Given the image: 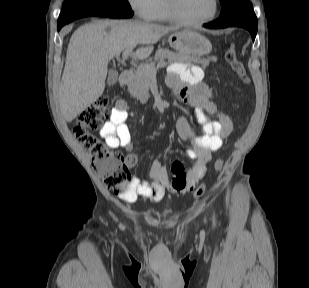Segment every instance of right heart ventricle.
I'll return each instance as SVG.
<instances>
[{
  "instance_id": "obj_1",
  "label": "right heart ventricle",
  "mask_w": 309,
  "mask_h": 288,
  "mask_svg": "<svg viewBox=\"0 0 309 288\" xmlns=\"http://www.w3.org/2000/svg\"><path fill=\"white\" fill-rule=\"evenodd\" d=\"M151 19L163 22L174 21L170 15L167 0H158Z\"/></svg>"
}]
</instances>
